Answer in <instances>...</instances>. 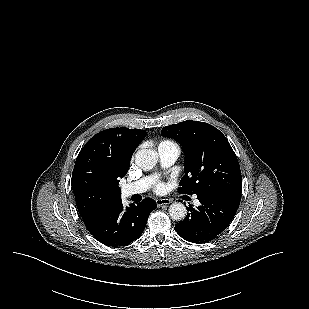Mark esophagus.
Instances as JSON below:
<instances>
[{
    "mask_svg": "<svg viewBox=\"0 0 309 309\" xmlns=\"http://www.w3.org/2000/svg\"><path fill=\"white\" fill-rule=\"evenodd\" d=\"M170 203H171V200L166 199V198L156 200V204H157L158 207H161L163 205H169Z\"/></svg>",
    "mask_w": 309,
    "mask_h": 309,
    "instance_id": "esophagus-1",
    "label": "esophagus"
}]
</instances>
